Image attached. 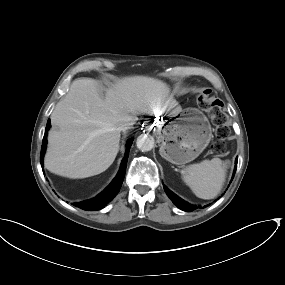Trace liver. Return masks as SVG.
Instances as JSON below:
<instances>
[{
    "label": "liver",
    "mask_w": 285,
    "mask_h": 285,
    "mask_svg": "<svg viewBox=\"0 0 285 285\" xmlns=\"http://www.w3.org/2000/svg\"><path fill=\"white\" fill-rule=\"evenodd\" d=\"M181 111L167 84L158 79L125 77L106 90L105 98L95 80L76 79L51 114L52 125L58 129L48 134L45 168L72 179L98 175L117 156L118 127L136 120L137 114Z\"/></svg>",
    "instance_id": "liver-1"
}]
</instances>
